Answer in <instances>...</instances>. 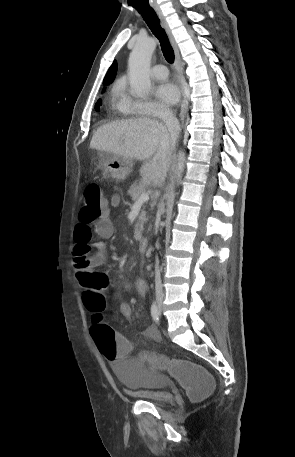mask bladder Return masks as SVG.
Returning a JSON list of instances; mask_svg holds the SVG:
<instances>
[{
    "instance_id": "bladder-1",
    "label": "bladder",
    "mask_w": 295,
    "mask_h": 457,
    "mask_svg": "<svg viewBox=\"0 0 295 457\" xmlns=\"http://www.w3.org/2000/svg\"><path fill=\"white\" fill-rule=\"evenodd\" d=\"M131 358H138L137 355ZM138 365H128L127 359L112 363V368L123 386L131 391L139 392L145 399L158 404L170 403L173 400L172 394L165 389L168 383V376L158 375L163 369L158 366L159 371L156 374L146 371V362H155V360H141Z\"/></svg>"
}]
</instances>
